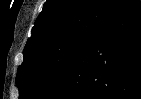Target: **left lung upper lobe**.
<instances>
[{
    "instance_id": "left-lung-upper-lobe-1",
    "label": "left lung upper lobe",
    "mask_w": 141,
    "mask_h": 99,
    "mask_svg": "<svg viewBox=\"0 0 141 99\" xmlns=\"http://www.w3.org/2000/svg\"><path fill=\"white\" fill-rule=\"evenodd\" d=\"M122 0H47L17 70L19 99H38Z\"/></svg>"
}]
</instances>
